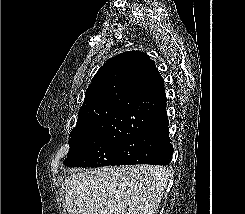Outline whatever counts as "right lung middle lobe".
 Listing matches in <instances>:
<instances>
[{"instance_id":"dd1d6c3e","label":"right lung middle lobe","mask_w":245,"mask_h":214,"mask_svg":"<svg viewBox=\"0 0 245 214\" xmlns=\"http://www.w3.org/2000/svg\"><path fill=\"white\" fill-rule=\"evenodd\" d=\"M127 135V127L114 128L106 132L70 133V150L63 164L70 167L117 165V147Z\"/></svg>"}]
</instances>
